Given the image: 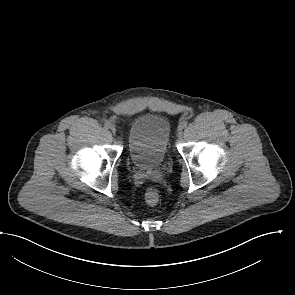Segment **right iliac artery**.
Returning a JSON list of instances; mask_svg holds the SVG:
<instances>
[{"label":"right iliac artery","instance_id":"obj_1","mask_svg":"<svg viewBox=\"0 0 295 295\" xmlns=\"http://www.w3.org/2000/svg\"><path fill=\"white\" fill-rule=\"evenodd\" d=\"M104 127H105L106 129L111 128V123H110V122H106V123L104 124Z\"/></svg>","mask_w":295,"mask_h":295}]
</instances>
